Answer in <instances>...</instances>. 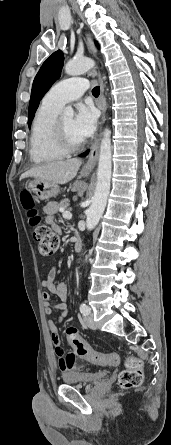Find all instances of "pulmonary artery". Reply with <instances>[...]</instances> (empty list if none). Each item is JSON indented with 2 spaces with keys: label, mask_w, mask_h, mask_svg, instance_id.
<instances>
[{
  "label": "pulmonary artery",
  "mask_w": 171,
  "mask_h": 445,
  "mask_svg": "<svg viewBox=\"0 0 171 445\" xmlns=\"http://www.w3.org/2000/svg\"><path fill=\"white\" fill-rule=\"evenodd\" d=\"M84 78H69L54 85L44 96L43 102L61 109L66 103L77 100L88 89Z\"/></svg>",
  "instance_id": "pulmonary-artery-1"
}]
</instances>
